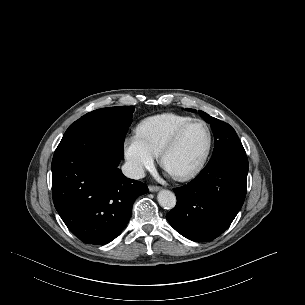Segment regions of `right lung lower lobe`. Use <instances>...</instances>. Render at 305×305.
Masks as SVG:
<instances>
[{
	"label": "right lung lower lobe",
	"mask_w": 305,
	"mask_h": 305,
	"mask_svg": "<svg viewBox=\"0 0 305 305\" xmlns=\"http://www.w3.org/2000/svg\"><path fill=\"white\" fill-rule=\"evenodd\" d=\"M121 159L101 141L54 153L53 202L68 229L84 243L103 245L116 238L131 217L135 199L148 191L122 174Z\"/></svg>",
	"instance_id": "right-lung-lower-lobe-1"
}]
</instances>
